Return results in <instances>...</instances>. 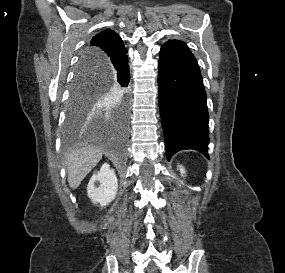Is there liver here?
I'll use <instances>...</instances> for the list:
<instances>
[{
  "instance_id": "obj_1",
  "label": "liver",
  "mask_w": 285,
  "mask_h": 273,
  "mask_svg": "<svg viewBox=\"0 0 285 273\" xmlns=\"http://www.w3.org/2000/svg\"><path fill=\"white\" fill-rule=\"evenodd\" d=\"M101 158L102 151L91 145L66 154L65 166L68 172L69 186L76 189Z\"/></svg>"
}]
</instances>
